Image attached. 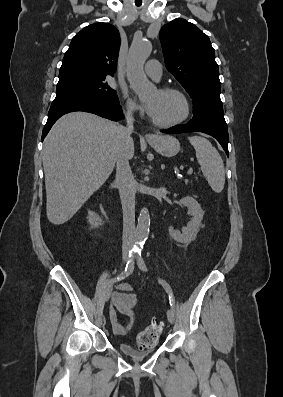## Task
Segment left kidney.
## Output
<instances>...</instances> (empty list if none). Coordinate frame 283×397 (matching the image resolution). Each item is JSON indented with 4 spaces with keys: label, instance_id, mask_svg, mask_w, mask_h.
<instances>
[{
    "label": "left kidney",
    "instance_id": "1",
    "mask_svg": "<svg viewBox=\"0 0 283 397\" xmlns=\"http://www.w3.org/2000/svg\"><path fill=\"white\" fill-rule=\"evenodd\" d=\"M180 203L186 206L189 213L192 216L191 221L188 223L187 227L182 229V233L174 230L172 226L169 227V234L172 239L179 243H190L195 239L199 228L201 226V221L203 219L204 211L202 210L199 203L192 197L187 196L180 200Z\"/></svg>",
    "mask_w": 283,
    "mask_h": 397
}]
</instances>
